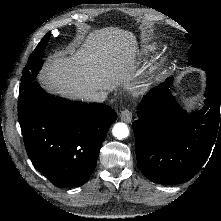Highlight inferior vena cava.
I'll return each instance as SVG.
<instances>
[{
    "label": "inferior vena cava",
    "instance_id": "602c4592",
    "mask_svg": "<svg viewBox=\"0 0 221 221\" xmlns=\"http://www.w3.org/2000/svg\"><path fill=\"white\" fill-rule=\"evenodd\" d=\"M107 97L106 91H96V92H88L85 94L84 98L90 102H103Z\"/></svg>",
    "mask_w": 221,
    "mask_h": 221
}]
</instances>
